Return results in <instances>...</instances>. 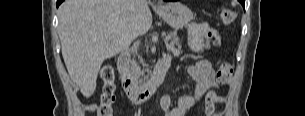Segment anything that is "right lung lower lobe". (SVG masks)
I'll list each match as a JSON object with an SVG mask.
<instances>
[{
    "label": "right lung lower lobe",
    "instance_id": "98d812e1",
    "mask_svg": "<svg viewBox=\"0 0 305 116\" xmlns=\"http://www.w3.org/2000/svg\"><path fill=\"white\" fill-rule=\"evenodd\" d=\"M64 0H57V7L63 2Z\"/></svg>",
    "mask_w": 305,
    "mask_h": 116
}]
</instances>
